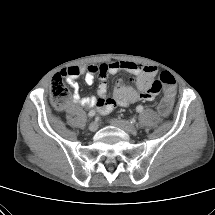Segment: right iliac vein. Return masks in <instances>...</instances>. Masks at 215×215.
Wrapping results in <instances>:
<instances>
[{"instance_id":"obj_1","label":"right iliac vein","mask_w":215,"mask_h":215,"mask_svg":"<svg viewBox=\"0 0 215 215\" xmlns=\"http://www.w3.org/2000/svg\"><path fill=\"white\" fill-rule=\"evenodd\" d=\"M97 129H98V124H97L96 122L90 123V125H89V130H90L91 132H95Z\"/></svg>"}]
</instances>
